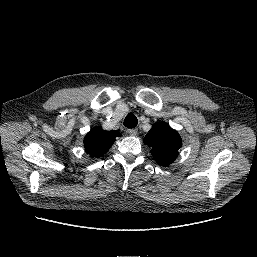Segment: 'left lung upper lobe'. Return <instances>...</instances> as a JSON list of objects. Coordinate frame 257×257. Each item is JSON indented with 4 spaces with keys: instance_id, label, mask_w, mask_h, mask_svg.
<instances>
[{
    "instance_id": "obj_1",
    "label": "left lung upper lobe",
    "mask_w": 257,
    "mask_h": 257,
    "mask_svg": "<svg viewBox=\"0 0 257 257\" xmlns=\"http://www.w3.org/2000/svg\"><path fill=\"white\" fill-rule=\"evenodd\" d=\"M144 143L150 146L154 159L162 166L170 165L178 156L182 141L176 130L167 123L159 122L152 126L144 138Z\"/></svg>"
}]
</instances>
